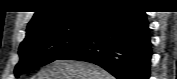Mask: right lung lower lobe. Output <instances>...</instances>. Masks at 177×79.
<instances>
[{
  "label": "right lung lower lobe",
  "instance_id": "obj_1",
  "mask_svg": "<svg viewBox=\"0 0 177 79\" xmlns=\"http://www.w3.org/2000/svg\"><path fill=\"white\" fill-rule=\"evenodd\" d=\"M151 54L145 12L115 6L106 9L86 39L59 60L91 62L117 79H148Z\"/></svg>",
  "mask_w": 177,
  "mask_h": 79
}]
</instances>
